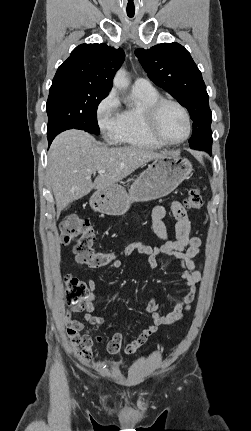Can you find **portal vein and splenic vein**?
Wrapping results in <instances>:
<instances>
[{"mask_svg": "<svg viewBox=\"0 0 251 431\" xmlns=\"http://www.w3.org/2000/svg\"><path fill=\"white\" fill-rule=\"evenodd\" d=\"M104 172H105V170H102V169L98 170V173H99V174H102V173H104Z\"/></svg>", "mask_w": 251, "mask_h": 431, "instance_id": "1", "label": "portal vein and splenic vein"}]
</instances>
